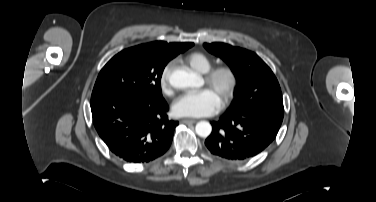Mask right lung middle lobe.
I'll return each instance as SVG.
<instances>
[{
    "label": "right lung middle lobe",
    "instance_id": "dd1d6c3e",
    "mask_svg": "<svg viewBox=\"0 0 376 202\" xmlns=\"http://www.w3.org/2000/svg\"><path fill=\"white\" fill-rule=\"evenodd\" d=\"M193 44L170 54L152 59L141 46L125 49L115 55L100 71L91 100L109 94L162 98L161 76L166 64Z\"/></svg>",
    "mask_w": 376,
    "mask_h": 202
}]
</instances>
